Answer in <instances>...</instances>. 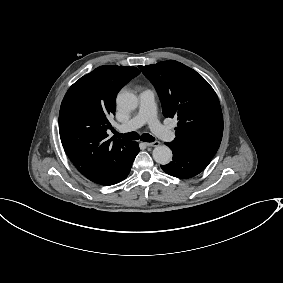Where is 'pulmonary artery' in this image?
I'll use <instances>...</instances> for the list:
<instances>
[{
    "label": "pulmonary artery",
    "instance_id": "pulmonary-artery-1",
    "mask_svg": "<svg viewBox=\"0 0 283 283\" xmlns=\"http://www.w3.org/2000/svg\"><path fill=\"white\" fill-rule=\"evenodd\" d=\"M155 107L153 92L148 89L141 91L138 95V110L129 121L117 125L118 131L121 133L130 132L146 122V126L159 138L170 141L174 137V132L157 120Z\"/></svg>",
    "mask_w": 283,
    "mask_h": 283
}]
</instances>
